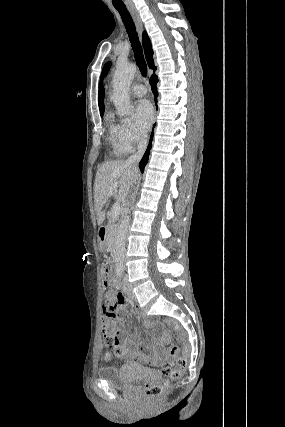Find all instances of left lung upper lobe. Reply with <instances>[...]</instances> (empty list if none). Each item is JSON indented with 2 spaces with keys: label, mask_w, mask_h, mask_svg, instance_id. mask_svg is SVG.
I'll list each match as a JSON object with an SVG mask.
<instances>
[{
  "label": "left lung upper lobe",
  "mask_w": 285,
  "mask_h": 427,
  "mask_svg": "<svg viewBox=\"0 0 285 427\" xmlns=\"http://www.w3.org/2000/svg\"><path fill=\"white\" fill-rule=\"evenodd\" d=\"M109 67H110V63H107V64L104 66L103 71H102V75H101V77H102V78L105 76V74H106V73H107V71L109 70Z\"/></svg>",
  "instance_id": "1"
}]
</instances>
